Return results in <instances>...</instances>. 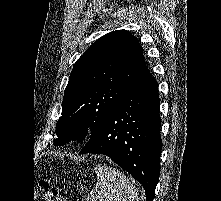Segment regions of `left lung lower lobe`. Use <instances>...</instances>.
<instances>
[{"label":"left lung lower lobe","instance_id":"1","mask_svg":"<svg viewBox=\"0 0 221 201\" xmlns=\"http://www.w3.org/2000/svg\"><path fill=\"white\" fill-rule=\"evenodd\" d=\"M159 108L151 76L114 106L80 152L109 156L142 184L146 201H153L160 174Z\"/></svg>","mask_w":221,"mask_h":201}]
</instances>
